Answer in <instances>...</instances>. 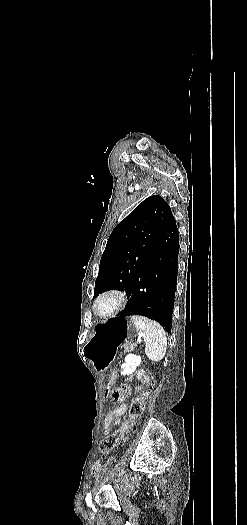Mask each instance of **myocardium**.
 <instances>
[{
	"mask_svg": "<svg viewBox=\"0 0 247 525\" xmlns=\"http://www.w3.org/2000/svg\"><path fill=\"white\" fill-rule=\"evenodd\" d=\"M104 298H111L112 303L104 309H99L98 303ZM126 299H127V295L125 291L122 290L121 288H117V287L105 288L98 293V295L95 297L93 301L94 313L99 317H106L114 313H117L122 308L124 303L126 302Z\"/></svg>",
	"mask_w": 247,
	"mask_h": 525,
	"instance_id": "myocardium-1",
	"label": "myocardium"
}]
</instances>
